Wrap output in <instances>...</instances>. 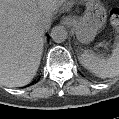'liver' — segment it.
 Instances as JSON below:
<instances>
[{
	"label": "liver",
	"instance_id": "1",
	"mask_svg": "<svg viewBox=\"0 0 119 119\" xmlns=\"http://www.w3.org/2000/svg\"><path fill=\"white\" fill-rule=\"evenodd\" d=\"M62 1L0 0V85L22 87L32 81L41 61L44 30Z\"/></svg>",
	"mask_w": 119,
	"mask_h": 119
}]
</instances>
